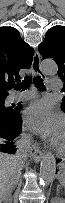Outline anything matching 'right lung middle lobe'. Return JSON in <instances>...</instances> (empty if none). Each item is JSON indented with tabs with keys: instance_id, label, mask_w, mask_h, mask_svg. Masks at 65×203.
Segmentation results:
<instances>
[{
	"instance_id": "right-lung-middle-lobe-1",
	"label": "right lung middle lobe",
	"mask_w": 65,
	"mask_h": 203,
	"mask_svg": "<svg viewBox=\"0 0 65 203\" xmlns=\"http://www.w3.org/2000/svg\"><path fill=\"white\" fill-rule=\"evenodd\" d=\"M6 97L7 96H0V113H4V114L11 113L13 111V108H14V107L6 108L4 106V101H5Z\"/></svg>"
}]
</instances>
